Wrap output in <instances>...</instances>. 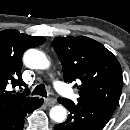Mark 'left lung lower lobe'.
I'll return each instance as SVG.
<instances>
[{
	"mask_svg": "<svg viewBox=\"0 0 130 130\" xmlns=\"http://www.w3.org/2000/svg\"><path fill=\"white\" fill-rule=\"evenodd\" d=\"M58 102L69 110V115L64 123L55 125L54 130H101L112 116L109 111L90 102L75 104L65 98H58Z\"/></svg>",
	"mask_w": 130,
	"mask_h": 130,
	"instance_id": "0a47b994",
	"label": "left lung lower lobe"
}]
</instances>
